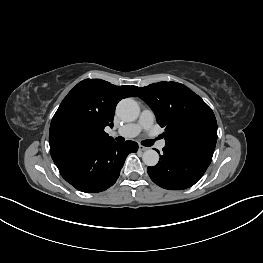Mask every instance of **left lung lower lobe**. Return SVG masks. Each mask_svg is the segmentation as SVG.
<instances>
[{"label": "left lung lower lobe", "mask_w": 263, "mask_h": 263, "mask_svg": "<svg viewBox=\"0 0 263 263\" xmlns=\"http://www.w3.org/2000/svg\"><path fill=\"white\" fill-rule=\"evenodd\" d=\"M163 155L147 171L151 180L162 188L186 189L194 185L205 173L211 160L163 148Z\"/></svg>", "instance_id": "0a47b994"}]
</instances>
